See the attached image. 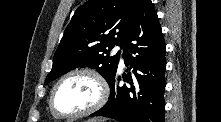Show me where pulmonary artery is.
I'll return each mask as SVG.
<instances>
[{
    "instance_id": "obj_1",
    "label": "pulmonary artery",
    "mask_w": 221,
    "mask_h": 122,
    "mask_svg": "<svg viewBox=\"0 0 221 122\" xmlns=\"http://www.w3.org/2000/svg\"><path fill=\"white\" fill-rule=\"evenodd\" d=\"M115 51H120V53H121V63H123V50L121 49V47H119V46H117V47H115Z\"/></svg>"
}]
</instances>
